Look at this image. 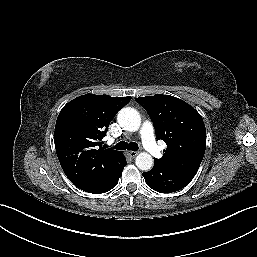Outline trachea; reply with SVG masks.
<instances>
[{
  "label": "trachea",
  "mask_w": 257,
  "mask_h": 257,
  "mask_svg": "<svg viewBox=\"0 0 257 257\" xmlns=\"http://www.w3.org/2000/svg\"><path fill=\"white\" fill-rule=\"evenodd\" d=\"M117 150H132V151H137L139 149L138 144L135 142H130L126 143L125 141H121L118 144L115 145L114 147Z\"/></svg>",
  "instance_id": "1"
}]
</instances>
